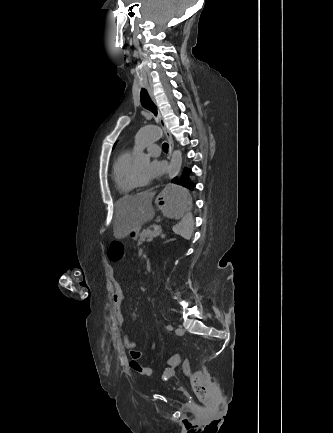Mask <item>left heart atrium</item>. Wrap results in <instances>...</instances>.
I'll return each mask as SVG.
<instances>
[{"label":"left heart atrium","mask_w":333,"mask_h":433,"mask_svg":"<svg viewBox=\"0 0 333 433\" xmlns=\"http://www.w3.org/2000/svg\"><path fill=\"white\" fill-rule=\"evenodd\" d=\"M165 170L164 162L159 159L150 161L145 169L146 181H151L159 177Z\"/></svg>","instance_id":"left-heart-atrium-1"}]
</instances>
